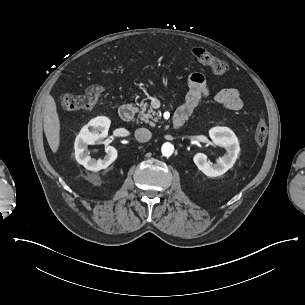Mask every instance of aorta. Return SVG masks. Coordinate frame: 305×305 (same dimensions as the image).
Segmentation results:
<instances>
[{"mask_svg": "<svg viewBox=\"0 0 305 305\" xmlns=\"http://www.w3.org/2000/svg\"><path fill=\"white\" fill-rule=\"evenodd\" d=\"M173 151H174V146L169 142L164 143L161 147V152L165 157L171 156L173 154Z\"/></svg>", "mask_w": 305, "mask_h": 305, "instance_id": "1", "label": "aorta"}]
</instances>
